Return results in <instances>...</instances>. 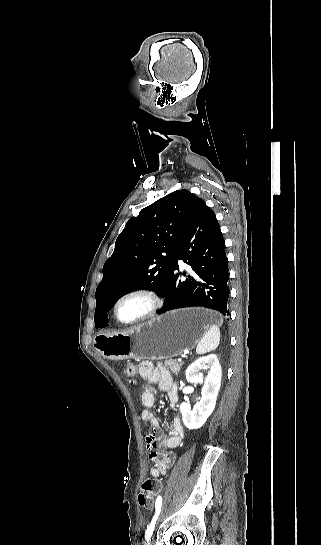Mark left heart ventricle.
<instances>
[{
    "label": "left heart ventricle",
    "instance_id": "left-heart-ventricle-1",
    "mask_svg": "<svg viewBox=\"0 0 321 545\" xmlns=\"http://www.w3.org/2000/svg\"><path fill=\"white\" fill-rule=\"evenodd\" d=\"M149 303L141 297H134L122 302L118 308L119 316L124 321H130L138 318L146 312Z\"/></svg>",
    "mask_w": 321,
    "mask_h": 545
}]
</instances>
